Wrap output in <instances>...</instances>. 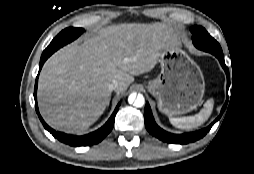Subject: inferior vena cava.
<instances>
[{
    "mask_svg": "<svg viewBox=\"0 0 254 174\" xmlns=\"http://www.w3.org/2000/svg\"><path fill=\"white\" fill-rule=\"evenodd\" d=\"M118 87H119V82L117 80H115V79L109 85V89L111 91H116L118 89Z\"/></svg>",
    "mask_w": 254,
    "mask_h": 174,
    "instance_id": "602c4592",
    "label": "inferior vena cava"
}]
</instances>
